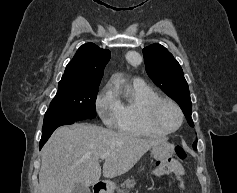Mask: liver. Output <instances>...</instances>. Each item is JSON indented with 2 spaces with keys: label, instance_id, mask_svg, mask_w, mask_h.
Masks as SVG:
<instances>
[{
  "label": "liver",
  "instance_id": "6515ba94",
  "mask_svg": "<svg viewBox=\"0 0 237 193\" xmlns=\"http://www.w3.org/2000/svg\"><path fill=\"white\" fill-rule=\"evenodd\" d=\"M163 140L144 139L93 124L59 127L42 149L40 193H72L75 184L91 186L101 176L113 178L128 172L154 145Z\"/></svg>",
  "mask_w": 237,
  "mask_h": 193
}]
</instances>
